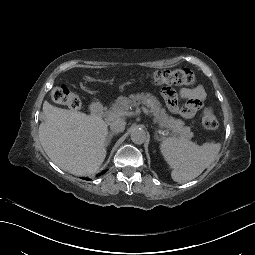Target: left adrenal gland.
Masks as SVG:
<instances>
[{"instance_id": "1", "label": "left adrenal gland", "mask_w": 255, "mask_h": 255, "mask_svg": "<svg viewBox=\"0 0 255 255\" xmlns=\"http://www.w3.org/2000/svg\"><path fill=\"white\" fill-rule=\"evenodd\" d=\"M155 136H156V139L159 140V137H158V134H157V133H155Z\"/></svg>"}]
</instances>
